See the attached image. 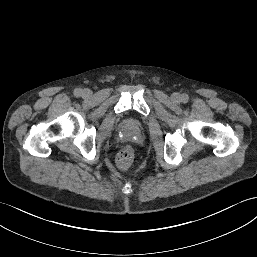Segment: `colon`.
Masks as SVG:
<instances>
[{
    "label": "colon",
    "instance_id": "5ec220e1",
    "mask_svg": "<svg viewBox=\"0 0 257 257\" xmlns=\"http://www.w3.org/2000/svg\"><path fill=\"white\" fill-rule=\"evenodd\" d=\"M133 160V150L130 147L124 148L118 155L117 164L119 168H128Z\"/></svg>",
    "mask_w": 257,
    "mask_h": 257
}]
</instances>
